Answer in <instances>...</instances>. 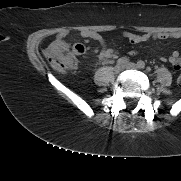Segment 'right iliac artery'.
Returning a JSON list of instances; mask_svg holds the SVG:
<instances>
[{
  "label": "right iliac artery",
  "instance_id": "82829eb1",
  "mask_svg": "<svg viewBox=\"0 0 181 181\" xmlns=\"http://www.w3.org/2000/svg\"><path fill=\"white\" fill-rule=\"evenodd\" d=\"M128 62H129V58H127V57H122V58L118 59L117 64H119V65H125V64H127Z\"/></svg>",
  "mask_w": 181,
  "mask_h": 181
}]
</instances>
